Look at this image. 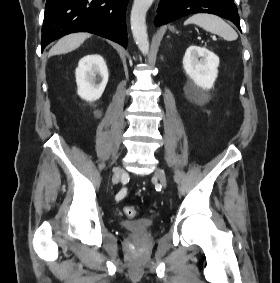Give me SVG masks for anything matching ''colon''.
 Returning <instances> with one entry per match:
<instances>
[{"label":"colon","instance_id":"5ec220e1","mask_svg":"<svg viewBox=\"0 0 280 283\" xmlns=\"http://www.w3.org/2000/svg\"><path fill=\"white\" fill-rule=\"evenodd\" d=\"M124 214L129 218H134L137 214L136 209L134 207H126L124 208Z\"/></svg>","mask_w":280,"mask_h":283}]
</instances>
